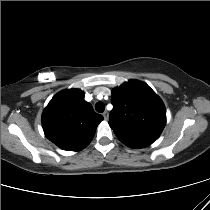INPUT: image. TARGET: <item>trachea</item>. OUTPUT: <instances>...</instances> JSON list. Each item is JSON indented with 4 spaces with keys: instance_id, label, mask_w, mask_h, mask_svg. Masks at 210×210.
I'll return each mask as SVG.
<instances>
[{
    "instance_id": "3493384b",
    "label": "trachea",
    "mask_w": 210,
    "mask_h": 210,
    "mask_svg": "<svg viewBox=\"0 0 210 210\" xmlns=\"http://www.w3.org/2000/svg\"><path fill=\"white\" fill-rule=\"evenodd\" d=\"M95 109L97 112L102 113L105 110V105L102 102H97L95 104Z\"/></svg>"
}]
</instances>
